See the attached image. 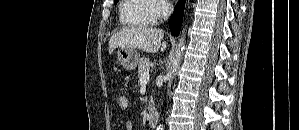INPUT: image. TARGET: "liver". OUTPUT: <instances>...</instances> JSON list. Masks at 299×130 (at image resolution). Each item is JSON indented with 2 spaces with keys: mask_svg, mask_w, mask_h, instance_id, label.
Masks as SVG:
<instances>
[{
  "mask_svg": "<svg viewBox=\"0 0 299 130\" xmlns=\"http://www.w3.org/2000/svg\"><path fill=\"white\" fill-rule=\"evenodd\" d=\"M164 31L156 28H124L113 34L109 41V54L116 48H137L144 52L156 53L165 51L167 43L162 42Z\"/></svg>",
  "mask_w": 299,
  "mask_h": 130,
  "instance_id": "6515ba94",
  "label": "liver"
}]
</instances>
